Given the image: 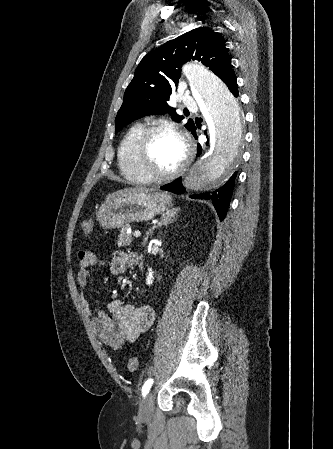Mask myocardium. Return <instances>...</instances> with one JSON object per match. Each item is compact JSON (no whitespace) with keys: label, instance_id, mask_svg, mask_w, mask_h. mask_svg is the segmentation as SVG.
Listing matches in <instances>:
<instances>
[{"label":"myocardium","instance_id":"obj_1","mask_svg":"<svg viewBox=\"0 0 333 449\" xmlns=\"http://www.w3.org/2000/svg\"><path fill=\"white\" fill-rule=\"evenodd\" d=\"M159 131H167L176 135L182 142L185 150L184 158L179 166L168 173L154 172L149 168L147 164L151 140L153 136ZM192 155L193 151L185 134L177 126L164 121H156L146 126L136 146V159L138 169L141 174L150 182H167L177 178L187 169V167L191 163Z\"/></svg>","mask_w":333,"mask_h":449}]
</instances>
